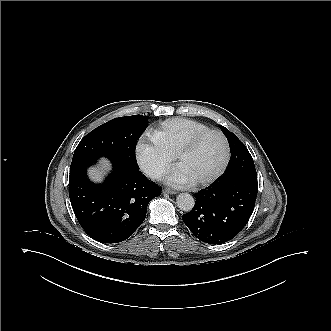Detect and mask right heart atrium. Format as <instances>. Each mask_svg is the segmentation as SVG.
I'll use <instances>...</instances> for the list:
<instances>
[{
  "instance_id": "right-heart-atrium-1",
  "label": "right heart atrium",
  "mask_w": 331,
  "mask_h": 331,
  "mask_svg": "<svg viewBox=\"0 0 331 331\" xmlns=\"http://www.w3.org/2000/svg\"><path fill=\"white\" fill-rule=\"evenodd\" d=\"M135 159L140 168L154 179L161 178L172 163V155L159 150L154 142L146 138L139 141Z\"/></svg>"
}]
</instances>
